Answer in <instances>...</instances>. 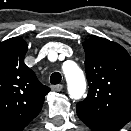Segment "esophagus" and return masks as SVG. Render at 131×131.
I'll use <instances>...</instances> for the list:
<instances>
[{
    "instance_id": "34e87169",
    "label": "esophagus",
    "mask_w": 131,
    "mask_h": 131,
    "mask_svg": "<svg viewBox=\"0 0 131 131\" xmlns=\"http://www.w3.org/2000/svg\"><path fill=\"white\" fill-rule=\"evenodd\" d=\"M51 88H52L53 91L59 92L63 89V85H61V84L53 85Z\"/></svg>"
}]
</instances>
